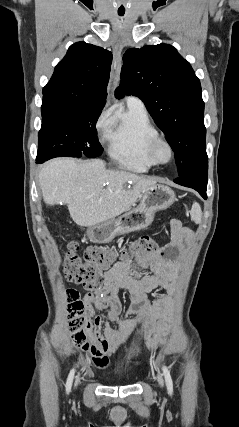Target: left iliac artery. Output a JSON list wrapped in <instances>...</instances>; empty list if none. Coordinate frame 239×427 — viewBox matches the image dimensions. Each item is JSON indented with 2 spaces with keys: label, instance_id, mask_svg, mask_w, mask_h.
I'll return each mask as SVG.
<instances>
[{
  "label": "left iliac artery",
  "instance_id": "left-iliac-artery-1",
  "mask_svg": "<svg viewBox=\"0 0 239 427\" xmlns=\"http://www.w3.org/2000/svg\"><path fill=\"white\" fill-rule=\"evenodd\" d=\"M162 370H163V374H164V377H165V381H166V386H167L168 393L170 395H172V393H173V382H172V378L170 376V372H169L168 368L165 365H163Z\"/></svg>",
  "mask_w": 239,
  "mask_h": 427
}]
</instances>
